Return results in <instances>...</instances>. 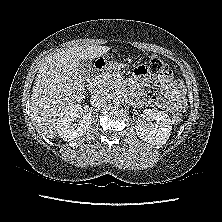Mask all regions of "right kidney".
Segmentation results:
<instances>
[{
	"mask_svg": "<svg viewBox=\"0 0 222 222\" xmlns=\"http://www.w3.org/2000/svg\"><path fill=\"white\" fill-rule=\"evenodd\" d=\"M91 121V113H84L81 105L71 107L58 127L60 138L64 141L73 142V140L82 136L89 129Z\"/></svg>",
	"mask_w": 222,
	"mask_h": 222,
	"instance_id": "1",
	"label": "right kidney"
}]
</instances>
